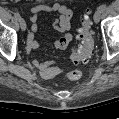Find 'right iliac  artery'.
Returning <instances> with one entry per match:
<instances>
[{
  "mask_svg": "<svg viewBox=\"0 0 119 119\" xmlns=\"http://www.w3.org/2000/svg\"><path fill=\"white\" fill-rule=\"evenodd\" d=\"M14 16H15V18H16L17 20H19V19L21 18L20 14H19L18 12H16V13L14 14Z\"/></svg>",
  "mask_w": 119,
  "mask_h": 119,
  "instance_id": "obj_1",
  "label": "right iliac artery"
}]
</instances>
